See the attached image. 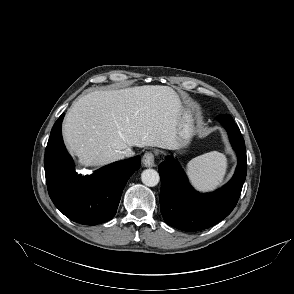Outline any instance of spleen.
<instances>
[{
    "instance_id": "spleen-1",
    "label": "spleen",
    "mask_w": 294,
    "mask_h": 294,
    "mask_svg": "<svg viewBox=\"0 0 294 294\" xmlns=\"http://www.w3.org/2000/svg\"><path fill=\"white\" fill-rule=\"evenodd\" d=\"M226 169V157L217 151L200 155L187 165V173L191 182L200 190H211L221 184Z\"/></svg>"
}]
</instances>
